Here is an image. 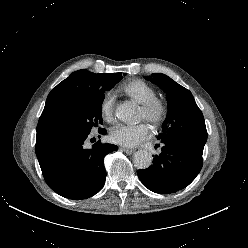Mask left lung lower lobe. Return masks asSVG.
Instances as JSON below:
<instances>
[{"label": "left lung lower lobe", "mask_w": 248, "mask_h": 248, "mask_svg": "<svg viewBox=\"0 0 248 248\" xmlns=\"http://www.w3.org/2000/svg\"><path fill=\"white\" fill-rule=\"evenodd\" d=\"M203 151L185 142H162V152L153 159V165L138 170L141 182L149 190L170 194L187 187L202 168Z\"/></svg>", "instance_id": "1"}]
</instances>
